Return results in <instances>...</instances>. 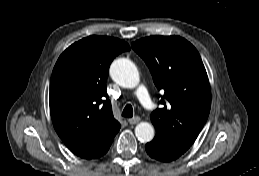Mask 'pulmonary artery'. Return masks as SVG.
Returning a JSON list of instances; mask_svg holds the SVG:
<instances>
[{"label":"pulmonary artery","mask_w":259,"mask_h":176,"mask_svg":"<svg viewBox=\"0 0 259 176\" xmlns=\"http://www.w3.org/2000/svg\"><path fill=\"white\" fill-rule=\"evenodd\" d=\"M136 96L145 109L149 110L152 108L151 98L144 86H139L136 91Z\"/></svg>","instance_id":"e3ab8cb5"}]
</instances>
